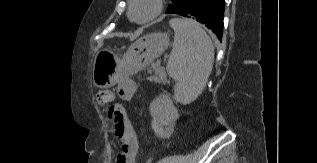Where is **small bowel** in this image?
Returning <instances> with one entry per match:
<instances>
[{"mask_svg": "<svg viewBox=\"0 0 317 163\" xmlns=\"http://www.w3.org/2000/svg\"><path fill=\"white\" fill-rule=\"evenodd\" d=\"M118 93L124 100H130L136 92V84L128 78H121L117 82ZM115 135L119 141V152L115 163H135L138 153V142L130 123L126 122L125 130Z\"/></svg>", "mask_w": 317, "mask_h": 163, "instance_id": "small-bowel-1", "label": "small bowel"}]
</instances>
